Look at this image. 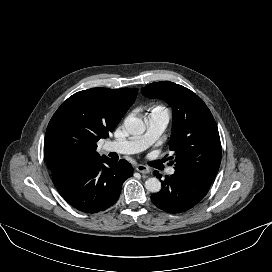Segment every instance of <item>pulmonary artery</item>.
I'll return each instance as SVG.
<instances>
[{
	"mask_svg": "<svg viewBox=\"0 0 272 272\" xmlns=\"http://www.w3.org/2000/svg\"><path fill=\"white\" fill-rule=\"evenodd\" d=\"M146 132L137 137H131L126 140H117L109 143V147L122 154L138 153L151 145L165 130L169 122V114L166 110L155 108L145 116ZM175 170L170 168L168 174H173Z\"/></svg>",
	"mask_w": 272,
	"mask_h": 272,
	"instance_id": "e3ab8cb5",
	"label": "pulmonary artery"
}]
</instances>
